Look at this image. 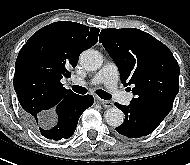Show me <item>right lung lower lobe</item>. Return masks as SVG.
<instances>
[{"mask_svg":"<svg viewBox=\"0 0 190 165\" xmlns=\"http://www.w3.org/2000/svg\"><path fill=\"white\" fill-rule=\"evenodd\" d=\"M94 102L92 95L66 98L48 113L35 118L25 114L28 125L39 135L51 140L71 137L79 117Z\"/></svg>","mask_w":190,"mask_h":165,"instance_id":"obj_1","label":"right lung lower lobe"}]
</instances>
